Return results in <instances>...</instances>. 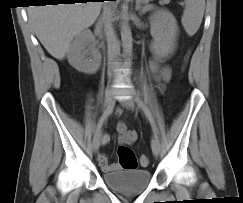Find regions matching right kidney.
Here are the masks:
<instances>
[{"label": "right kidney", "mask_w": 243, "mask_h": 203, "mask_svg": "<svg viewBox=\"0 0 243 203\" xmlns=\"http://www.w3.org/2000/svg\"><path fill=\"white\" fill-rule=\"evenodd\" d=\"M94 37L89 29L77 34L68 51V61L76 70L95 73L101 64V54L94 49Z\"/></svg>", "instance_id": "1"}]
</instances>
